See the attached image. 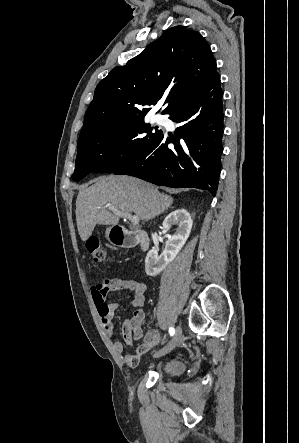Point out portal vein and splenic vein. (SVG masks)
<instances>
[{"instance_id": "portal-vein-and-splenic-vein-1", "label": "portal vein and splenic vein", "mask_w": 299, "mask_h": 443, "mask_svg": "<svg viewBox=\"0 0 299 443\" xmlns=\"http://www.w3.org/2000/svg\"><path fill=\"white\" fill-rule=\"evenodd\" d=\"M113 212L119 214L122 217L129 219L133 225H136L139 223V218L135 215H131L129 213L121 212V211H117V210H113Z\"/></svg>"}]
</instances>
